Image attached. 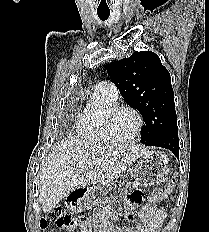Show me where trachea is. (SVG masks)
Listing matches in <instances>:
<instances>
[{
	"label": "trachea",
	"mask_w": 209,
	"mask_h": 232,
	"mask_svg": "<svg viewBox=\"0 0 209 232\" xmlns=\"http://www.w3.org/2000/svg\"><path fill=\"white\" fill-rule=\"evenodd\" d=\"M98 17L102 20L105 21L108 19L110 15V11H97Z\"/></svg>",
	"instance_id": "obj_1"
}]
</instances>
